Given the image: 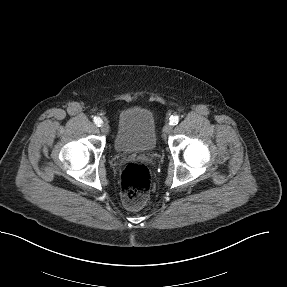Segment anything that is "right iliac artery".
Segmentation results:
<instances>
[{"instance_id":"right-iliac-artery-1","label":"right iliac artery","mask_w":287,"mask_h":287,"mask_svg":"<svg viewBox=\"0 0 287 287\" xmlns=\"http://www.w3.org/2000/svg\"><path fill=\"white\" fill-rule=\"evenodd\" d=\"M93 121L97 126H101V124H102V120L99 117H94Z\"/></svg>"}]
</instances>
